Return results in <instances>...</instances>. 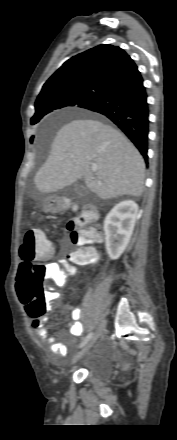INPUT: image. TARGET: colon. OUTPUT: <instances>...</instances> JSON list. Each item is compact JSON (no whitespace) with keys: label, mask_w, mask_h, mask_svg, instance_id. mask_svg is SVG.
Returning a JSON list of instances; mask_svg holds the SVG:
<instances>
[{"label":"colon","mask_w":177,"mask_h":440,"mask_svg":"<svg viewBox=\"0 0 177 440\" xmlns=\"http://www.w3.org/2000/svg\"><path fill=\"white\" fill-rule=\"evenodd\" d=\"M96 218L93 210H85L80 216L68 223L70 240L78 248L68 257L73 264H94L99 258V251L87 245L101 240L102 231L95 226L87 227ZM52 253V244L40 229L28 230L23 238L19 255L20 271L17 279V292L20 301L26 305L33 317L41 316L46 310L45 282L51 278L50 267L43 260ZM74 267L66 264L62 273L67 277L74 272Z\"/></svg>","instance_id":"5ec220e1"}]
</instances>
